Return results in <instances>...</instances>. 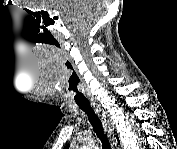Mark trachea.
<instances>
[{"mask_svg": "<svg viewBox=\"0 0 177 149\" xmlns=\"http://www.w3.org/2000/svg\"><path fill=\"white\" fill-rule=\"evenodd\" d=\"M75 92H76V95H75L76 104L78 105L80 109H82L87 114L88 120L93 126L96 136L101 141L102 149H111L110 142L108 138L104 135L102 123L100 119L98 118V116L95 114L91 104L89 102H85V103L78 102L77 98L83 95L80 93H77V91Z\"/></svg>", "mask_w": 177, "mask_h": 149, "instance_id": "trachea-1", "label": "trachea"}]
</instances>
